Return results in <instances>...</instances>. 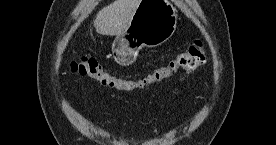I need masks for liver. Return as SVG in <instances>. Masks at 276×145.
I'll return each mask as SVG.
<instances>
[{"label": "liver", "instance_id": "1", "mask_svg": "<svg viewBox=\"0 0 276 145\" xmlns=\"http://www.w3.org/2000/svg\"><path fill=\"white\" fill-rule=\"evenodd\" d=\"M141 0H115L101 9L93 22L101 35H120L123 33Z\"/></svg>", "mask_w": 276, "mask_h": 145}]
</instances>
